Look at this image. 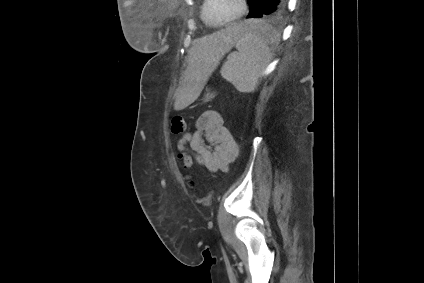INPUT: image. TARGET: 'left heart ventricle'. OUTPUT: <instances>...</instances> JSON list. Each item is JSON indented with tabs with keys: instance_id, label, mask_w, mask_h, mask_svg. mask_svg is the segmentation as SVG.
Listing matches in <instances>:
<instances>
[{
	"instance_id": "obj_1",
	"label": "left heart ventricle",
	"mask_w": 424,
	"mask_h": 283,
	"mask_svg": "<svg viewBox=\"0 0 424 283\" xmlns=\"http://www.w3.org/2000/svg\"><path fill=\"white\" fill-rule=\"evenodd\" d=\"M239 9V0H211L208 6V19L212 23L220 22L236 15Z\"/></svg>"
}]
</instances>
